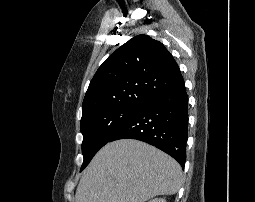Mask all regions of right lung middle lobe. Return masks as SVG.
Returning <instances> with one entry per match:
<instances>
[{
    "instance_id": "dd1d6c3e",
    "label": "right lung middle lobe",
    "mask_w": 255,
    "mask_h": 202,
    "mask_svg": "<svg viewBox=\"0 0 255 202\" xmlns=\"http://www.w3.org/2000/svg\"><path fill=\"white\" fill-rule=\"evenodd\" d=\"M140 106H117L105 108L82 117L83 134L82 171L97 151L107 144L112 136L139 110Z\"/></svg>"
}]
</instances>
